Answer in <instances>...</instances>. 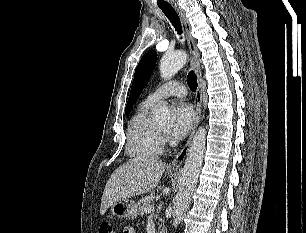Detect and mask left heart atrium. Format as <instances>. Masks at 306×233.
I'll return each mask as SVG.
<instances>
[{
    "instance_id": "obj_1",
    "label": "left heart atrium",
    "mask_w": 306,
    "mask_h": 233,
    "mask_svg": "<svg viewBox=\"0 0 306 233\" xmlns=\"http://www.w3.org/2000/svg\"><path fill=\"white\" fill-rule=\"evenodd\" d=\"M195 121V113L192 107L180 102L174 109V124L171 135L174 139H183L191 130Z\"/></svg>"
}]
</instances>
